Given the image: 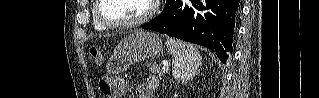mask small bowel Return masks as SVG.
Segmentation results:
<instances>
[{
	"instance_id": "obj_1",
	"label": "small bowel",
	"mask_w": 319,
	"mask_h": 98,
	"mask_svg": "<svg viewBox=\"0 0 319 98\" xmlns=\"http://www.w3.org/2000/svg\"><path fill=\"white\" fill-rule=\"evenodd\" d=\"M126 84H123V90L126 89ZM157 87V78L150 77L146 84L136 86V98H152V92Z\"/></svg>"
}]
</instances>
